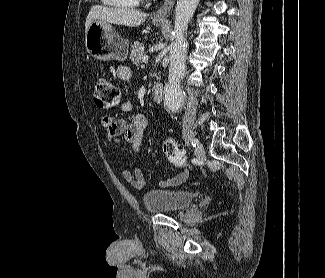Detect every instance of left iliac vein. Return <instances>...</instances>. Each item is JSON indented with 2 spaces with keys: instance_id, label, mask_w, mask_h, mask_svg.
Instances as JSON below:
<instances>
[{
  "instance_id": "left-iliac-vein-1",
  "label": "left iliac vein",
  "mask_w": 325,
  "mask_h": 278,
  "mask_svg": "<svg viewBox=\"0 0 325 278\" xmlns=\"http://www.w3.org/2000/svg\"><path fill=\"white\" fill-rule=\"evenodd\" d=\"M195 154L199 159H203L205 157V150L200 142H198L196 145Z\"/></svg>"
}]
</instances>
